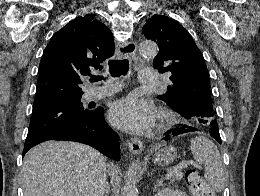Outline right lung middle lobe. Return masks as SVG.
Wrapping results in <instances>:
<instances>
[{
  "instance_id": "right-lung-middle-lobe-1",
  "label": "right lung middle lobe",
  "mask_w": 260,
  "mask_h": 196,
  "mask_svg": "<svg viewBox=\"0 0 260 196\" xmlns=\"http://www.w3.org/2000/svg\"><path fill=\"white\" fill-rule=\"evenodd\" d=\"M81 96L59 98L51 102L33 105L27 138L88 120L93 111L82 106Z\"/></svg>"
}]
</instances>
